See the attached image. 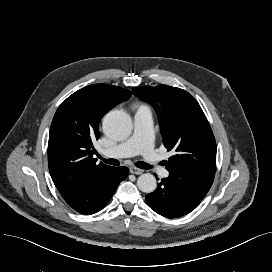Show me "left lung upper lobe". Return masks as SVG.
<instances>
[{
	"mask_svg": "<svg viewBox=\"0 0 272 272\" xmlns=\"http://www.w3.org/2000/svg\"><path fill=\"white\" fill-rule=\"evenodd\" d=\"M132 91L154 107L164 146L175 151L166 169L214 177L216 142L197 101L185 90L167 85L135 87Z\"/></svg>",
	"mask_w": 272,
	"mask_h": 272,
	"instance_id": "1",
	"label": "left lung upper lobe"
}]
</instances>
